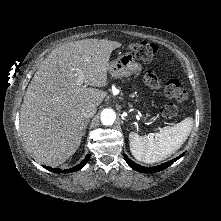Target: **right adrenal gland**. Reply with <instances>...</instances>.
<instances>
[{"label": "right adrenal gland", "instance_id": "1", "mask_svg": "<svg viewBox=\"0 0 221 221\" xmlns=\"http://www.w3.org/2000/svg\"><path fill=\"white\" fill-rule=\"evenodd\" d=\"M89 121H90L89 119H87V120L84 121V128H83V133H82L83 136H84L85 133H86V129H87V125H88Z\"/></svg>", "mask_w": 221, "mask_h": 221}]
</instances>
